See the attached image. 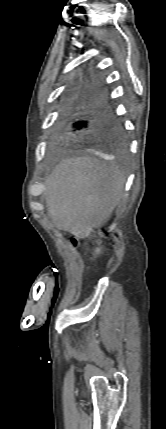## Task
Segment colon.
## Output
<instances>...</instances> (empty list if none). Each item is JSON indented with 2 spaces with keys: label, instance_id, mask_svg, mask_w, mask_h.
Masks as SVG:
<instances>
[{
  "label": "colon",
  "instance_id": "colon-1",
  "mask_svg": "<svg viewBox=\"0 0 166 429\" xmlns=\"http://www.w3.org/2000/svg\"><path fill=\"white\" fill-rule=\"evenodd\" d=\"M72 242H73V244H75V245L77 244V240H76V239H73V240H72Z\"/></svg>",
  "mask_w": 166,
  "mask_h": 429
}]
</instances>
